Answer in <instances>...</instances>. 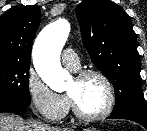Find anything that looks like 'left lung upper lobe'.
<instances>
[{"label":"left lung upper lobe","instance_id":"1","mask_svg":"<svg viewBox=\"0 0 147 131\" xmlns=\"http://www.w3.org/2000/svg\"><path fill=\"white\" fill-rule=\"evenodd\" d=\"M76 15L93 64L114 85L116 103L111 115L147 116L141 60L129 15L109 0H85L77 5Z\"/></svg>","mask_w":147,"mask_h":131}]
</instances>
